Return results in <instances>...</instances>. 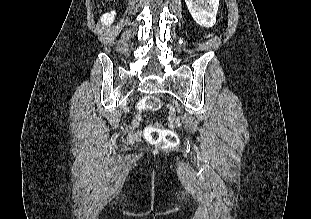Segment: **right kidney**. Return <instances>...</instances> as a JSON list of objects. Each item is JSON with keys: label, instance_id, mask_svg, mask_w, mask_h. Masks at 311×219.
Returning <instances> with one entry per match:
<instances>
[{"label": "right kidney", "instance_id": "obj_1", "mask_svg": "<svg viewBox=\"0 0 311 219\" xmlns=\"http://www.w3.org/2000/svg\"><path fill=\"white\" fill-rule=\"evenodd\" d=\"M116 13L114 11L106 13L101 17V23L103 25H110L113 23Z\"/></svg>", "mask_w": 311, "mask_h": 219}]
</instances>
